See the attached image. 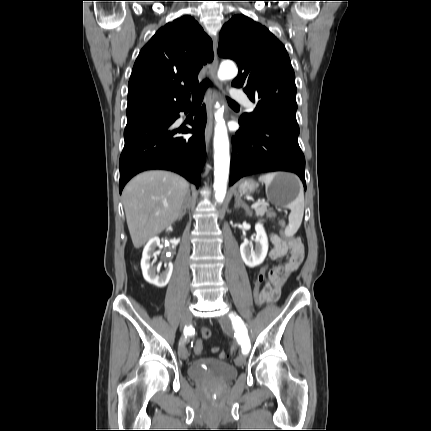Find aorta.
Here are the masks:
<instances>
[{"instance_id": "aorta-1", "label": "aorta", "mask_w": 431, "mask_h": 431, "mask_svg": "<svg viewBox=\"0 0 431 431\" xmlns=\"http://www.w3.org/2000/svg\"><path fill=\"white\" fill-rule=\"evenodd\" d=\"M238 70L233 62H222L218 70V78L227 80L234 78ZM217 107H219L217 105ZM216 127L214 136V192L218 203L224 201L227 191V181L230 167L229 139L223 111H218L215 115Z\"/></svg>"}]
</instances>
